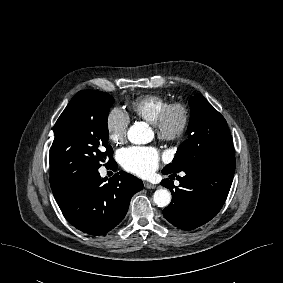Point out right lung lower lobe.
<instances>
[{
	"mask_svg": "<svg viewBox=\"0 0 283 283\" xmlns=\"http://www.w3.org/2000/svg\"><path fill=\"white\" fill-rule=\"evenodd\" d=\"M109 166L117 168L114 160ZM106 180L95 170L52 189L64 217L85 233L101 235L112 230L125 217L132 196L143 187L140 179L123 171Z\"/></svg>",
	"mask_w": 283,
	"mask_h": 283,
	"instance_id": "obj_1",
	"label": "right lung lower lobe"
}]
</instances>
